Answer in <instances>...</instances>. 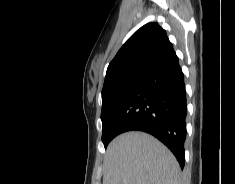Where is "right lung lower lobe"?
I'll use <instances>...</instances> for the list:
<instances>
[{"label": "right lung lower lobe", "instance_id": "98d812e1", "mask_svg": "<svg viewBox=\"0 0 235 184\" xmlns=\"http://www.w3.org/2000/svg\"><path fill=\"white\" fill-rule=\"evenodd\" d=\"M187 114L184 75L174 53L158 64L136 86L121 106L111 131H144L159 139L185 164Z\"/></svg>", "mask_w": 235, "mask_h": 184}]
</instances>
